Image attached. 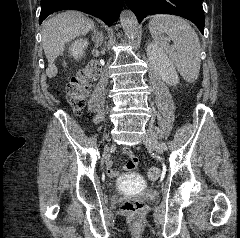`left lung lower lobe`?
Here are the masks:
<instances>
[{"mask_svg": "<svg viewBox=\"0 0 240 238\" xmlns=\"http://www.w3.org/2000/svg\"><path fill=\"white\" fill-rule=\"evenodd\" d=\"M138 22L147 15L171 14L192 21L201 33L204 32L205 17L202 0H125Z\"/></svg>", "mask_w": 240, "mask_h": 238, "instance_id": "obj_1", "label": "left lung lower lobe"}]
</instances>
